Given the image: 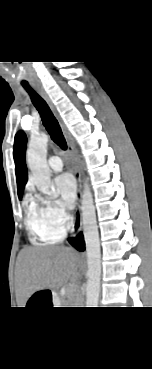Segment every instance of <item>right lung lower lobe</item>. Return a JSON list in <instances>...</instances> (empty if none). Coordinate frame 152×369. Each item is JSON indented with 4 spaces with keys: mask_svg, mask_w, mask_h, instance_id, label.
<instances>
[{
    "mask_svg": "<svg viewBox=\"0 0 152 369\" xmlns=\"http://www.w3.org/2000/svg\"><path fill=\"white\" fill-rule=\"evenodd\" d=\"M69 242L79 251L85 250V243L82 232H80L76 238L69 239Z\"/></svg>",
    "mask_w": 152,
    "mask_h": 369,
    "instance_id": "98d812e1",
    "label": "right lung lower lobe"
}]
</instances>
